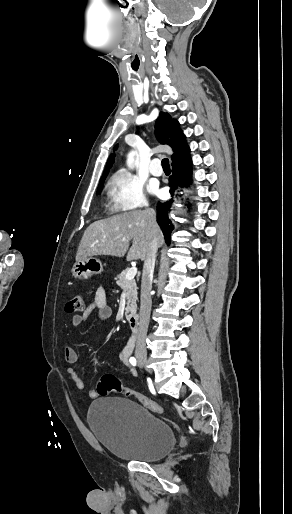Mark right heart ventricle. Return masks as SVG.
I'll return each mask as SVG.
<instances>
[{"mask_svg":"<svg viewBox=\"0 0 292 514\" xmlns=\"http://www.w3.org/2000/svg\"><path fill=\"white\" fill-rule=\"evenodd\" d=\"M106 210L109 214H114L115 212H117V210L115 209V207L112 205L110 199H107L106 201Z\"/></svg>","mask_w":292,"mask_h":514,"instance_id":"right-heart-ventricle-1","label":"right heart ventricle"}]
</instances>
